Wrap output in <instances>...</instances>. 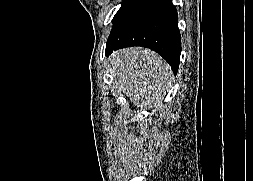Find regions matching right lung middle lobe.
<instances>
[{"mask_svg": "<svg viewBox=\"0 0 253 181\" xmlns=\"http://www.w3.org/2000/svg\"><path fill=\"white\" fill-rule=\"evenodd\" d=\"M136 0H123L122 5L118 12L115 14L112 22L115 23L118 19L121 18V16L131 7V5L135 2Z\"/></svg>", "mask_w": 253, "mask_h": 181, "instance_id": "1", "label": "right lung middle lobe"}]
</instances>
